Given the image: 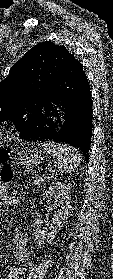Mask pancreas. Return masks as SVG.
I'll use <instances>...</instances> for the list:
<instances>
[{"label": "pancreas", "mask_w": 113, "mask_h": 279, "mask_svg": "<svg viewBox=\"0 0 113 279\" xmlns=\"http://www.w3.org/2000/svg\"><path fill=\"white\" fill-rule=\"evenodd\" d=\"M48 177H44V176H37L35 175L33 177V184L34 185H38L40 186L42 183H44L47 180Z\"/></svg>", "instance_id": "cf45deb5"}]
</instances>
